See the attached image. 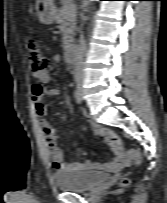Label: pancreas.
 Segmentation results:
<instances>
[{
  "label": "pancreas",
  "mask_w": 167,
  "mask_h": 203,
  "mask_svg": "<svg viewBox=\"0 0 167 203\" xmlns=\"http://www.w3.org/2000/svg\"><path fill=\"white\" fill-rule=\"evenodd\" d=\"M64 5L57 14L56 22L60 25L63 38V48L68 50L72 46L76 29V12H67Z\"/></svg>",
  "instance_id": "obj_1"
}]
</instances>
